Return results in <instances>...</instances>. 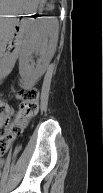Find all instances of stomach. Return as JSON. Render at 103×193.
<instances>
[{
    "mask_svg": "<svg viewBox=\"0 0 103 193\" xmlns=\"http://www.w3.org/2000/svg\"><path fill=\"white\" fill-rule=\"evenodd\" d=\"M39 0H0V13L3 21L9 17L36 11Z\"/></svg>",
    "mask_w": 103,
    "mask_h": 193,
    "instance_id": "obj_1",
    "label": "stomach"
}]
</instances>
